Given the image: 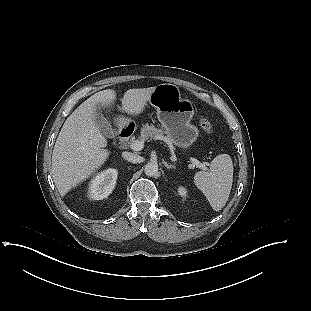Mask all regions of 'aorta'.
<instances>
[{
    "label": "aorta",
    "instance_id": "762f6f07",
    "mask_svg": "<svg viewBox=\"0 0 311 311\" xmlns=\"http://www.w3.org/2000/svg\"><path fill=\"white\" fill-rule=\"evenodd\" d=\"M144 172L148 177H156L159 175V166L156 161L148 162L145 165Z\"/></svg>",
    "mask_w": 311,
    "mask_h": 311
}]
</instances>
